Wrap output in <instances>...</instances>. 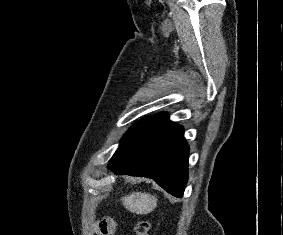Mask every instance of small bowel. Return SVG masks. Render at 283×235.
<instances>
[{"instance_id": "1", "label": "small bowel", "mask_w": 283, "mask_h": 235, "mask_svg": "<svg viewBox=\"0 0 283 235\" xmlns=\"http://www.w3.org/2000/svg\"><path fill=\"white\" fill-rule=\"evenodd\" d=\"M97 228L101 235H113L115 231V223L110 218H103L98 222Z\"/></svg>"}]
</instances>
